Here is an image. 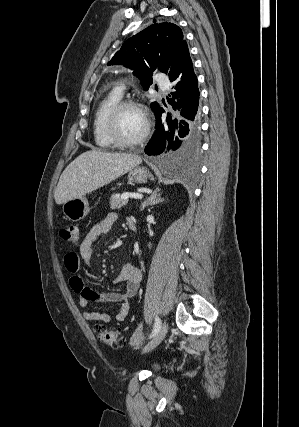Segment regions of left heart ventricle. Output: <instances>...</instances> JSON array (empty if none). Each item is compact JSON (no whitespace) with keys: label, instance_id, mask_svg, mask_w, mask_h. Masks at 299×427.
Returning <instances> with one entry per match:
<instances>
[{"label":"left heart ventricle","instance_id":"obj_1","mask_svg":"<svg viewBox=\"0 0 299 427\" xmlns=\"http://www.w3.org/2000/svg\"><path fill=\"white\" fill-rule=\"evenodd\" d=\"M145 128L143 115L134 108L124 109L118 118V131L122 138L132 140L141 135Z\"/></svg>","mask_w":299,"mask_h":427}]
</instances>
